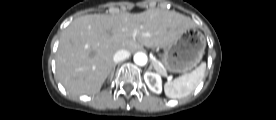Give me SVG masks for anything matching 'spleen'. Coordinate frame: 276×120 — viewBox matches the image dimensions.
<instances>
[{"label":"spleen","instance_id":"spleen-1","mask_svg":"<svg viewBox=\"0 0 276 120\" xmlns=\"http://www.w3.org/2000/svg\"><path fill=\"white\" fill-rule=\"evenodd\" d=\"M206 70V63H201L199 67L191 73L184 74L173 81H168L164 85V91L169 98H183L191 94L202 81Z\"/></svg>","mask_w":276,"mask_h":120}]
</instances>
